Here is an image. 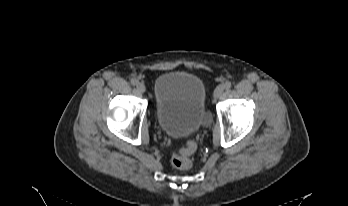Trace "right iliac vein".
<instances>
[{
	"label": "right iliac vein",
	"mask_w": 348,
	"mask_h": 206,
	"mask_svg": "<svg viewBox=\"0 0 348 206\" xmlns=\"http://www.w3.org/2000/svg\"><path fill=\"white\" fill-rule=\"evenodd\" d=\"M138 92L140 93H144L146 91V87L143 83H138L136 86Z\"/></svg>",
	"instance_id": "obj_1"
}]
</instances>
